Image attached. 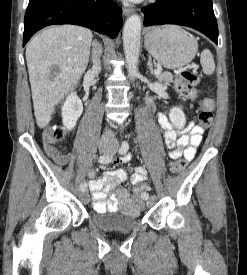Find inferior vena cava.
Masks as SVG:
<instances>
[{
  "label": "inferior vena cava",
  "instance_id": "inferior-vena-cava-1",
  "mask_svg": "<svg viewBox=\"0 0 247 275\" xmlns=\"http://www.w3.org/2000/svg\"><path fill=\"white\" fill-rule=\"evenodd\" d=\"M93 50H92V68L91 71L95 74L99 73L101 71V62H100V56L102 53V46L98 42L94 41L93 44ZM116 142L114 133H112L110 130L106 129L105 132L102 135L101 143L104 144H114Z\"/></svg>",
  "mask_w": 247,
  "mask_h": 275
}]
</instances>
